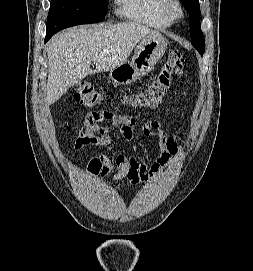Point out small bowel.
<instances>
[{"label": "small bowel", "instance_id": "small-bowel-1", "mask_svg": "<svg viewBox=\"0 0 253 271\" xmlns=\"http://www.w3.org/2000/svg\"><path fill=\"white\" fill-rule=\"evenodd\" d=\"M108 121L111 127L119 130L126 141H131L137 132L157 140L161 150L160 157L149 167L142 160L135 157L118 154L114 160L104 154L90 156L85 161V167L90 176L105 175L114 167L117 172L113 179L120 181L128 179L136 185L163 171L179 155L181 146L174 135L167 132L162 123L157 119H149L144 123L131 115L116 114L110 112H90L85 115L82 128L75 141L76 149H83L89 145H97L101 148L112 141L108 127L101 125Z\"/></svg>", "mask_w": 253, "mask_h": 271}]
</instances>
